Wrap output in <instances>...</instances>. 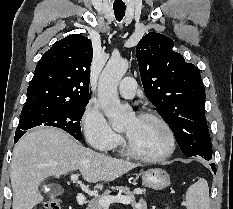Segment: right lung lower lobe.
<instances>
[{
	"mask_svg": "<svg viewBox=\"0 0 233 209\" xmlns=\"http://www.w3.org/2000/svg\"><path fill=\"white\" fill-rule=\"evenodd\" d=\"M21 136H15V140L14 142L16 143L19 139H20Z\"/></svg>",
	"mask_w": 233,
	"mask_h": 209,
	"instance_id": "98d812e1",
	"label": "right lung lower lobe"
}]
</instances>
